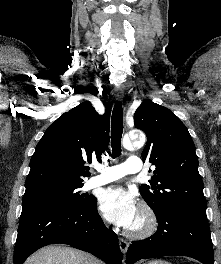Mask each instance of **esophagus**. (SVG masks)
<instances>
[{"instance_id":"1","label":"esophagus","mask_w":221,"mask_h":264,"mask_svg":"<svg viewBox=\"0 0 221 264\" xmlns=\"http://www.w3.org/2000/svg\"><path fill=\"white\" fill-rule=\"evenodd\" d=\"M114 95L118 101H122L124 97V92L121 88H116L114 90ZM119 246L123 254H125L128 250L129 243L125 239L119 238Z\"/></svg>"}]
</instances>
